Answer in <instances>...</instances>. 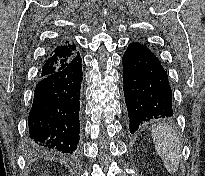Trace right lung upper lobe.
I'll use <instances>...</instances> for the list:
<instances>
[{"label": "right lung upper lobe", "instance_id": "1", "mask_svg": "<svg viewBox=\"0 0 205 176\" xmlns=\"http://www.w3.org/2000/svg\"><path fill=\"white\" fill-rule=\"evenodd\" d=\"M76 46L68 40L54 47L43 65L40 77L66 64L76 54Z\"/></svg>", "mask_w": 205, "mask_h": 176}]
</instances>
